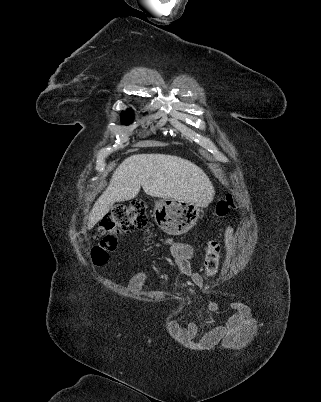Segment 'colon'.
Instances as JSON below:
<instances>
[{
    "label": "colon",
    "mask_w": 321,
    "mask_h": 402,
    "mask_svg": "<svg viewBox=\"0 0 321 402\" xmlns=\"http://www.w3.org/2000/svg\"><path fill=\"white\" fill-rule=\"evenodd\" d=\"M235 206L232 196L219 199L215 204V215L226 217ZM136 230H148L146 206L141 201L129 205L118 206L105 217L98 230V242L91 249V257L95 264H105L112 252L117 248V234L131 233ZM221 246L217 240H209L205 246L204 272L207 277L213 276L219 269Z\"/></svg>",
    "instance_id": "obj_1"
}]
</instances>
